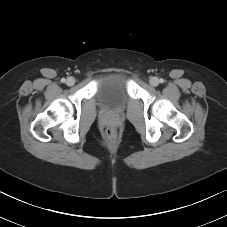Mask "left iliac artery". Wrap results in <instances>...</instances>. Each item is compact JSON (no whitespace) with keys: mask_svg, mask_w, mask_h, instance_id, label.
Wrapping results in <instances>:
<instances>
[{"mask_svg":"<svg viewBox=\"0 0 227 227\" xmlns=\"http://www.w3.org/2000/svg\"><path fill=\"white\" fill-rule=\"evenodd\" d=\"M159 82H160V83H163V82H164V80L161 78V79L159 80Z\"/></svg>","mask_w":227,"mask_h":227,"instance_id":"44dca946","label":"left iliac artery"}]
</instances>
